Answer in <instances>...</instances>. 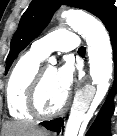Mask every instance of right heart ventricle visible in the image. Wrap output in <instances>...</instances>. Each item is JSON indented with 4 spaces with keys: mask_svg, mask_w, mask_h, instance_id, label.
<instances>
[{
    "mask_svg": "<svg viewBox=\"0 0 117 136\" xmlns=\"http://www.w3.org/2000/svg\"><path fill=\"white\" fill-rule=\"evenodd\" d=\"M43 58L31 49L23 54L14 65L6 84V102L10 115L14 119H32L28 110L29 88L40 70Z\"/></svg>",
    "mask_w": 117,
    "mask_h": 136,
    "instance_id": "right-heart-ventricle-1",
    "label": "right heart ventricle"
}]
</instances>
